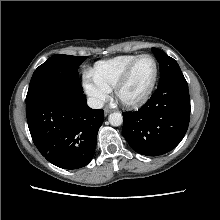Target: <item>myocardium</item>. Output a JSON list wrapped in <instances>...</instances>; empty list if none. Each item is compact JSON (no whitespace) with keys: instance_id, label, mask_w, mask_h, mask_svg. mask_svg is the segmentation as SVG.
I'll use <instances>...</instances> for the list:
<instances>
[{"instance_id":"f54148a6","label":"myocardium","mask_w":220,"mask_h":220,"mask_svg":"<svg viewBox=\"0 0 220 220\" xmlns=\"http://www.w3.org/2000/svg\"><path fill=\"white\" fill-rule=\"evenodd\" d=\"M145 57L151 58L155 64V74H154L153 81H152L150 87L148 88V90L145 92V94L142 97L135 99V100H125L120 95L121 90L129 81V79L132 75V72H133L135 66L137 65V63ZM158 77H159V65H158L156 58L150 54H141L129 65V67L127 68V70L123 74V76L119 79V81L114 86L115 97L118 101H120L123 105H125L127 107H133V108L140 107V106L144 105L152 96V94L155 90L157 81H158Z\"/></svg>"}]
</instances>
